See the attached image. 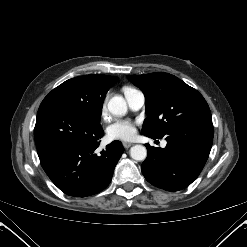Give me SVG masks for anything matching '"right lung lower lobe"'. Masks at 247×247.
<instances>
[{"label": "right lung lower lobe", "mask_w": 247, "mask_h": 247, "mask_svg": "<svg viewBox=\"0 0 247 247\" xmlns=\"http://www.w3.org/2000/svg\"><path fill=\"white\" fill-rule=\"evenodd\" d=\"M104 135L101 125L57 105L39 107L34 138L42 168L65 194L86 197L102 191L124 152L113 141L96 154Z\"/></svg>", "instance_id": "1"}]
</instances>
